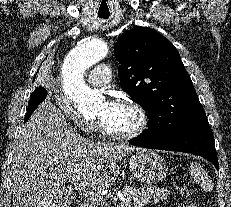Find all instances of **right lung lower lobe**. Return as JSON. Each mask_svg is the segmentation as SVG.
<instances>
[{"mask_svg":"<svg viewBox=\"0 0 231 207\" xmlns=\"http://www.w3.org/2000/svg\"><path fill=\"white\" fill-rule=\"evenodd\" d=\"M45 98H46V91H44V94L42 96H39L32 101L31 100L29 101V105H28V109H27V113H26L24 122H26L29 119L31 114L37 108L38 104H40L42 101H44Z\"/></svg>","mask_w":231,"mask_h":207,"instance_id":"1","label":"right lung lower lobe"}]
</instances>
